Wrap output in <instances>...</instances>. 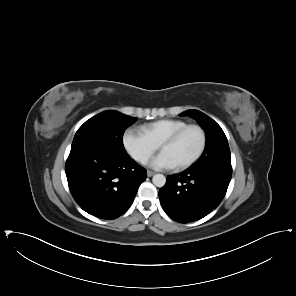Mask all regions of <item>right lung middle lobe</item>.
Instances as JSON below:
<instances>
[{
	"instance_id": "obj_1",
	"label": "right lung middle lobe",
	"mask_w": 296,
	"mask_h": 296,
	"mask_svg": "<svg viewBox=\"0 0 296 296\" xmlns=\"http://www.w3.org/2000/svg\"><path fill=\"white\" fill-rule=\"evenodd\" d=\"M137 118L118 111H103L87 120L76 132L71 150L98 148L115 155H126L123 133Z\"/></svg>"
}]
</instances>
